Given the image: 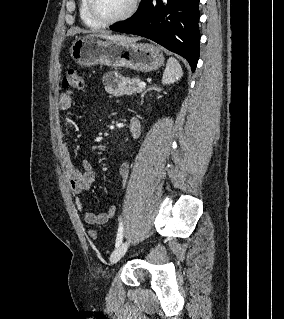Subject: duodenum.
Here are the masks:
<instances>
[{
    "instance_id": "410a0bca",
    "label": "duodenum",
    "mask_w": 284,
    "mask_h": 319,
    "mask_svg": "<svg viewBox=\"0 0 284 319\" xmlns=\"http://www.w3.org/2000/svg\"><path fill=\"white\" fill-rule=\"evenodd\" d=\"M130 134H131V135H134V134H135V130H134V129H131Z\"/></svg>"
}]
</instances>
